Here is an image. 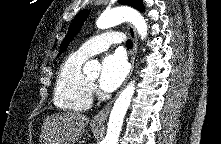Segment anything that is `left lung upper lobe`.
<instances>
[{
  "label": "left lung upper lobe",
  "mask_w": 221,
  "mask_h": 144,
  "mask_svg": "<svg viewBox=\"0 0 221 144\" xmlns=\"http://www.w3.org/2000/svg\"><path fill=\"white\" fill-rule=\"evenodd\" d=\"M119 2L121 4L132 6L140 11H145L142 0H119ZM89 12L90 10L85 9L76 15V17L74 18V20L70 25V28L68 30L66 37L64 38L63 43L61 44L58 56H60L63 53V51L67 48L68 44L77 35L84 21L87 19Z\"/></svg>",
  "instance_id": "1"
}]
</instances>
